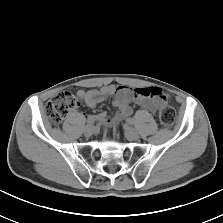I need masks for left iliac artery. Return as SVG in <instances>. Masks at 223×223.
Instances as JSON below:
<instances>
[{
	"label": "left iliac artery",
	"instance_id": "1",
	"mask_svg": "<svg viewBox=\"0 0 223 223\" xmlns=\"http://www.w3.org/2000/svg\"><path fill=\"white\" fill-rule=\"evenodd\" d=\"M128 123H129L130 125H136V122H135V120H134L133 118H129V119H128Z\"/></svg>",
	"mask_w": 223,
	"mask_h": 223
}]
</instances>
